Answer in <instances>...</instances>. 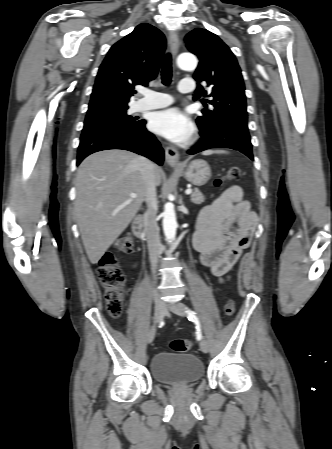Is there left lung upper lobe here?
I'll return each instance as SVG.
<instances>
[{"instance_id": "left-lung-upper-lobe-1", "label": "left lung upper lobe", "mask_w": 332, "mask_h": 449, "mask_svg": "<svg viewBox=\"0 0 332 449\" xmlns=\"http://www.w3.org/2000/svg\"><path fill=\"white\" fill-rule=\"evenodd\" d=\"M187 48L197 55L200 62L194 73L198 82L205 81L208 89L198 84L194 100L212 96L214 107L202 109L196 122L204 135L229 123L247 124L246 96L243 77L234 54L212 32L196 28L187 36Z\"/></svg>"}]
</instances>
